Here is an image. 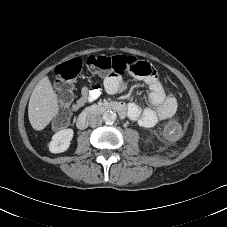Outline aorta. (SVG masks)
I'll list each match as a JSON object with an SVG mask.
<instances>
[{"label":"aorta","mask_w":227,"mask_h":227,"mask_svg":"<svg viewBox=\"0 0 227 227\" xmlns=\"http://www.w3.org/2000/svg\"><path fill=\"white\" fill-rule=\"evenodd\" d=\"M102 118L106 124H113L116 121L117 116L113 111H105Z\"/></svg>","instance_id":"762f6f07"}]
</instances>
